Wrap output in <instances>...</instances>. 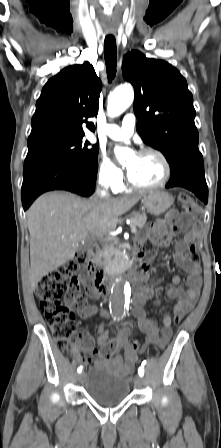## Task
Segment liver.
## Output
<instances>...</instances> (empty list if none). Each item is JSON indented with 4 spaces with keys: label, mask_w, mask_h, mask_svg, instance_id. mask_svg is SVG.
<instances>
[{
    "label": "liver",
    "mask_w": 221,
    "mask_h": 448,
    "mask_svg": "<svg viewBox=\"0 0 221 448\" xmlns=\"http://www.w3.org/2000/svg\"><path fill=\"white\" fill-rule=\"evenodd\" d=\"M120 198L81 199L68 192L41 195L27 211L30 233V282L32 290L41 279L72 260L80 243L102 239L115 230L118 217L144 195Z\"/></svg>",
    "instance_id": "6515ba94"
}]
</instances>
